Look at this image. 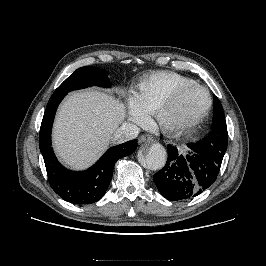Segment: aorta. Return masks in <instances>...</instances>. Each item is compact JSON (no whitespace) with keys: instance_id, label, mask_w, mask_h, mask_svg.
<instances>
[{"instance_id":"762f6f07","label":"aorta","mask_w":266,"mask_h":266,"mask_svg":"<svg viewBox=\"0 0 266 266\" xmlns=\"http://www.w3.org/2000/svg\"><path fill=\"white\" fill-rule=\"evenodd\" d=\"M167 153L165 148L159 144H152L144 157V162L151 170H158L164 167L166 163Z\"/></svg>"}]
</instances>
